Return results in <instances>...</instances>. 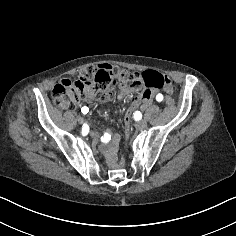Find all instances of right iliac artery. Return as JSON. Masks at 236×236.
Segmentation results:
<instances>
[{
  "instance_id": "82829eb1",
  "label": "right iliac artery",
  "mask_w": 236,
  "mask_h": 236,
  "mask_svg": "<svg viewBox=\"0 0 236 236\" xmlns=\"http://www.w3.org/2000/svg\"><path fill=\"white\" fill-rule=\"evenodd\" d=\"M89 132V126L87 124H83L82 126V135L86 136Z\"/></svg>"
}]
</instances>
